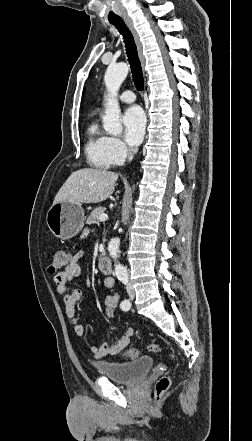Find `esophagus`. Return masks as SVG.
<instances>
[{
  "mask_svg": "<svg viewBox=\"0 0 252 441\" xmlns=\"http://www.w3.org/2000/svg\"><path fill=\"white\" fill-rule=\"evenodd\" d=\"M124 21H125L126 25L128 26L129 30L131 31V33H132V35L134 37V40H135V43H136V46H137V50H138V55H139L142 67H144V57L142 55V44H141V41L139 39V35H138V33H137V31H136V29H135V27L133 25V22H132V20L130 18L126 17V18H124Z\"/></svg>",
  "mask_w": 252,
  "mask_h": 441,
  "instance_id": "esophagus-1",
  "label": "esophagus"
}]
</instances>
